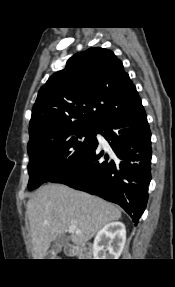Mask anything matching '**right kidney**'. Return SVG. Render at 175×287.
Returning <instances> with one entry per match:
<instances>
[{"label": "right kidney", "mask_w": 175, "mask_h": 287, "mask_svg": "<svg viewBox=\"0 0 175 287\" xmlns=\"http://www.w3.org/2000/svg\"><path fill=\"white\" fill-rule=\"evenodd\" d=\"M126 241L125 225L121 222L106 224L93 243L94 259H118Z\"/></svg>", "instance_id": "ca27d5eb"}]
</instances>
